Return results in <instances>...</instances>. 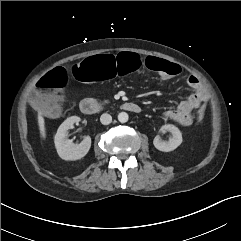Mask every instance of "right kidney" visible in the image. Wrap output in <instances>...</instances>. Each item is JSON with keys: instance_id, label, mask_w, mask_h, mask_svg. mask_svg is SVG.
Listing matches in <instances>:
<instances>
[{"instance_id": "obj_1", "label": "right kidney", "mask_w": 241, "mask_h": 241, "mask_svg": "<svg viewBox=\"0 0 241 241\" xmlns=\"http://www.w3.org/2000/svg\"><path fill=\"white\" fill-rule=\"evenodd\" d=\"M78 116L67 118L58 128L54 138L55 147L59 157L66 161H75L83 158L90 150L91 138L86 136L80 144H74L69 140L67 131L73 127L75 123H79Z\"/></svg>"}]
</instances>
